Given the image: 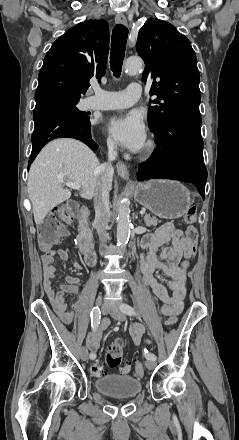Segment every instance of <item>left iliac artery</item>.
I'll use <instances>...</instances> for the list:
<instances>
[{
	"mask_svg": "<svg viewBox=\"0 0 239 440\" xmlns=\"http://www.w3.org/2000/svg\"><path fill=\"white\" fill-rule=\"evenodd\" d=\"M120 309L126 315H129V316L137 315L135 309L128 304H121ZM143 353H144V356L146 357L147 360H156L157 359L156 355L148 352L147 349H144Z\"/></svg>",
	"mask_w": 239,
	"mask_h": 440,
	"instance_id": "44dca946",
	"label": "left iliac artery"
}]
</instances>
